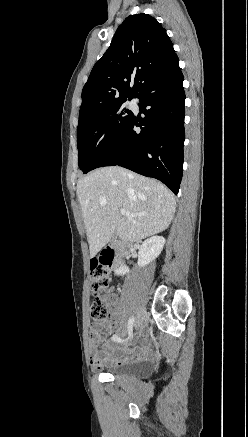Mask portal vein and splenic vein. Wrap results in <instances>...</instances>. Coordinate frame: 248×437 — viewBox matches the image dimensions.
Masks as SVG:
<instances>
[{
    "mask_svg": "<svg viewBox=\"0 0 248 437\" xmlns=\"http://www.w3.org/2000/svg\"><path fill=\"white\" fill-rule=\"evenodd\" d=\"M120 213H121V215L126 216V217H134L136 215H139V216L143 215V214H131L128 211H126L125 209H120Z\"/></svg>",
    "mask_w": 248,
    "mask_h": 437,
    "instance_id": "portal-vein-and-splenic-vein-1",
    "label": "portal vein and splenic vein"
}]
</instances>
